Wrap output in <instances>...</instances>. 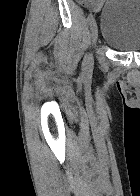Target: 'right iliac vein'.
Listing matches in <instances>:
<instances>
[{
  "label": "right iliac vein",
  "mask_w": 140,
  "mask_h": 196,
  "mask_svg": "<svg viewBox=\"0 0 140 196\" xmlns=\"http://www.w3.org/2000/svg\"><path fill=\"white\" fill-rule=\"evenodd\" d=\"M90 25H91L90 28H91L92 44H93V46H95L97 43V40H98V27H97V23L95 20H92ZM92 57L93 56L87 57V64L91 63Z\"/></svg>",
  "instance_id": "63e3f726"
}]
</instances>
